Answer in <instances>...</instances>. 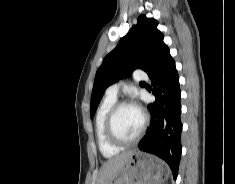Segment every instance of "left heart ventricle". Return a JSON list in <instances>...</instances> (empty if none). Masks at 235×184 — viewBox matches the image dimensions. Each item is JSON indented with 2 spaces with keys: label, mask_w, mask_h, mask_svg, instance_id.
<instances>
[{
  "label": "left heart ventricle",
  "mask_w": 235,
  "mask_h": 184,
  "mask_svg": "<svg viewBox=\"0 0 235 184\" xmlns=\"http://www.w3.org/2000/svg\"><path fill=\"white\" fill-rule=\"evenodd\" d=\"M143 124L142 113L133 106L122 108L116 115L115 127L118 134L125 139H132L139 133Z\"/></svg>",
  "instance_id": "left-heart-ventricle-1"
}]
</instances>
